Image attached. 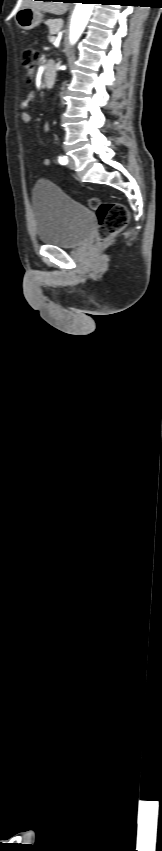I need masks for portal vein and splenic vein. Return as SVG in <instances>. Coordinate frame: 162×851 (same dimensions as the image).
<instances>
[{
    "label": "portal vein and splenic vein",
    "mask_w": 162,
    "mask_h": 851,
    "mask_svg": "<svg viewBox=\"0 0 162 851\" xmlns=\"http://www.w3.org/2000/svg\"><path fill=\"white\" fill-rule=\"evenodd\" d=\"M55 41H56V38H55L54 36H53V37H51L50 42H51V43H54Z\"/></svg>",
    "instance_id": "obj_1"
}]
</instances>
